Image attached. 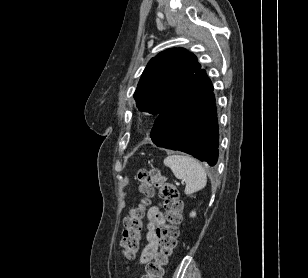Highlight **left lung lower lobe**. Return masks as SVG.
I'll use <instances>...</instances> for the list:
<instances>
[{"label": "left lung lower lobe", "instance_id": "0a47b994", "mask_svg": "<svg viewBox=\"0 0 308 278\" xmlns=\"http://www.w3.org/2000/svg\"><path fill=\"white\" fill-rule=\"evenodd\" d=\"M154 144L186 152L214 166L219 133L213 86L205 70L196 73L159 113Z\"/></svg>", "mask_w": 308, "mask_h": 278}]
</instances>
